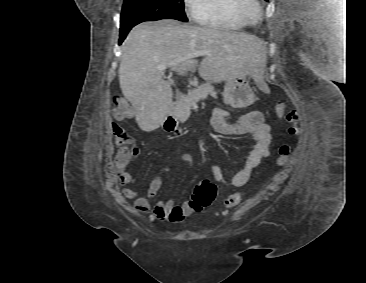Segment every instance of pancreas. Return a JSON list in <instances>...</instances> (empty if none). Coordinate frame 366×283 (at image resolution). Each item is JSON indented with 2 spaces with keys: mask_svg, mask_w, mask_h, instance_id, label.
Listing matches in <instances>:
<instances>
[{
  "mask_svg": "<svg viewBox=\"0 0 366 283\" xmlns=\"http://www.w3.org/2000/svg\"><path fill=\"white\" fill-rule=\"evenodd\" d=\"M193 85H195L196 88L189 90L187 95L182 97L176 107V116L181 122H185L189 118L191 114V107L197 101L207 98L208 95L215 99L217 98V93L210 83L198 86L197 81H194Z\"/></svg>",
  "mask_w": 366,
  "mask_h": 283,
  "instance_id": "pancreas-1",
  "label": "pancreas"
}]
</instances>
